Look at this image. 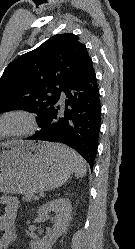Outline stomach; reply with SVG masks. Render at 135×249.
<instances>
[{"mask_svg": "<svg viewBox=\"0 0 135 249\" xmlns=\"http://www.w3.org/2000/svg\"><path fill=\"white\" fill-rule=\"evenodd\" d=\"M59 144L11 141L0 144V191L33 194L64 184L75 170Z\"/></svg>", "mask_w": 135, "mask_h": 249, "instance_id": "0dacf381", "label": "stomach"}]
</instances>
